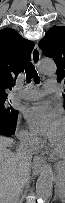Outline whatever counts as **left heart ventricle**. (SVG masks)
<instances>
[{
  "label": "left heart ventricle",
  "mask_w": 65,
  "mask_h": 203,
  "mask_svg": "<svg viewBox=\"0 0 65 203\" xmlns=\"http://www.w3.org/2000/svg\"><path fill=\"white\" fill-rule=\"evenodd\" d=\"M51 144L59 152L64 151V149H65V126H63V128L59 132V134L51 140Z\"/></svg>",
  "instance_id": "1"
}]
</instances>
